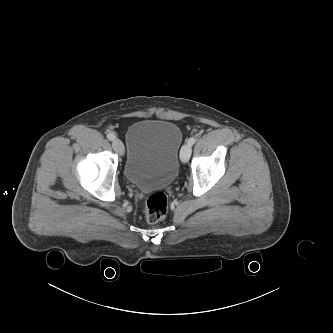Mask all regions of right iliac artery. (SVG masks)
<instances>
[{
  "mask_svg": "<svg viewBox=\"0 0 333 333\" xmlns=\"http://www.w3.org/2000/svg\"><path fill=\"white\" fill-rule=\"evenodd\" d=\"M115 137H116V136H115L113 133H108V134H107V138H108L109 140H114Z\"/></svg>",
  "mask_w": 333,
  "mask_h": 333,
  "instance_id": "82829eb1",
  "label": "right iliac artery"
}]
</instances>
